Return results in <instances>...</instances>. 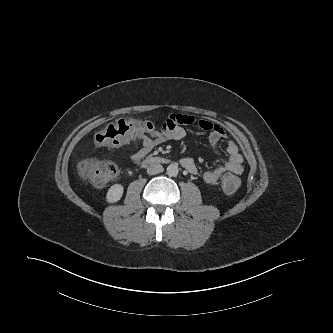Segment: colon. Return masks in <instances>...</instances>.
<instances>
[{
  "instance_id": "1",
  "label": "colon",
  "mask_w": 333,
  "mask_h": 333,
  "mask_svg": "<svg viewBox=\"0 0 333 333\" xmlns=\"http://www.w3.org/2000/svg\"><path fill=\"white\" fill-rule=\"evenodd\" d=\"M154 129L153 123L139 118H123L110 123L94 137L97 147L108 148L142 138ZM81 173L96 186H102L117 174V166L110 161L90 159L83 160L79 165ZM222 188L226 193L235 192L240 185L239 178L227 173L222 178Z\"/></svg>"
}]
</instances>
